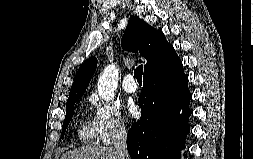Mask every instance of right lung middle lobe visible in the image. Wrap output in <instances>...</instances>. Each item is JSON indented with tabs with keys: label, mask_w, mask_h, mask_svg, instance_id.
I'll return each instance as SVG.
<instances>
[{
	"label": "right lung middle lobe",
	"mask_w": 253,
	"mask_h": 159,
	"mask_svg": "<svg viewBox=\"0 0 253 159\" xmlns=\"http://www.w3.org/2000/svg\"><path fill=\"white\" fill-rule=\"evenodd\" d=\"M80 98H75V99H72L70 101H67V104H66V116H65V120L63 122V126H62V134H61V137L63 138L64 137V134H65V131H66V128L73 116V113H74V104L76 103V101H78Z\"/></svg>",
	"instance_id": "1"
}]
</instances>
